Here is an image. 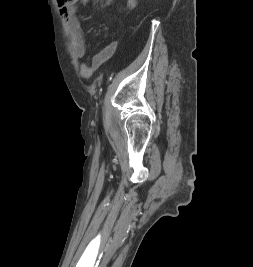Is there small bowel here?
I'll use <instances>...</instances> for the list:
<instances>
[{
    "label": "small bowel",
    "mask_w": 253,
    "mask_h": 267,
    "mask_svg": "<svg viewBox=\"0 0 253 267\" xmlns=\"http://www.w3.org/2000/svg\"><path fill=\"white\" fill-rule=\"evenodd\" d=\"M82 3H85L87 0H78ZM112 2V0H104V3L106 5H109ZM76 6H70V7H60V13L61 16L64 19V22L67 27L70 44L73 50L74 55L81 59L85 56V44H84V37H83V31L81 29L79 20L76 17ZM117 41H113L109 43L107 46H105L100 52H98L94 58H93V65L98 66L103 61L107 60L109 57L113 55L117 48ZM82 70H86L87 66L85 63L81 64Z\"/></svg>",
    "instance_id": "c3829d8e"
}]
</instances>
